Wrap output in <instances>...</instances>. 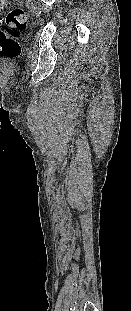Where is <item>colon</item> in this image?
<instances>
[{
	"label": "colon",
	"instance_id": "1",
	"mask_svg": "<svg viewBox=\"0 0 131 311\" xmlns=\"http://www.w3.org/2000/svg\"><path fill=\"white\" fill-rule=\"evenodd\" d=\"M7 0H0V59H14L21 50L18 38L27 27L28 15L23 8H14L4 18L1 11Z\"/></svg>",
	"mask_w": 131,
	"mask_h": 311
}]
</instances>
